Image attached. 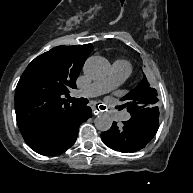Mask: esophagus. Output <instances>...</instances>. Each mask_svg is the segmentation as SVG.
I'll return each instance as SVG.
<instances>
[{"label": "esophagus", "mask_w": 193, "mask_h": 193, "mask_svg": "<svg viewBox=\"0 0 193 193\" xmlns=\"http://www.w3.org/2000/svg\"><path fill=\"white\" fill-rule=\"evenodd\" d=\"M92 109H93V114L94 115H98L100 113V111L97 110L95 107H93Z\"/></svg>", "instance_id": "obj_1"}]
</instances>
